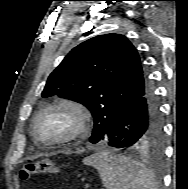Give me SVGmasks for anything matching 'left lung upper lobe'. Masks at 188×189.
Listing matches in <instances>:
<instances>
[{"label":"left lung upper lobe","mask_w":188,"mask_h":189,"mask_svg":"<svg viewBox=\"0 0 188 189\" xmlns=\"http://www.w3.org/2000/svg\"><path fill=\"white\" fill-rule=\"evenodd\" d=\"M149 84L135 47L120 34L99 35L73 48L50 74L43 97L58 95L85 105L94 118L89 139L97 143ZM160 137L137 149L157 147Z\"/></svg>","instance_id":"left-lung-upper-lobe-1"}]
</instances>
